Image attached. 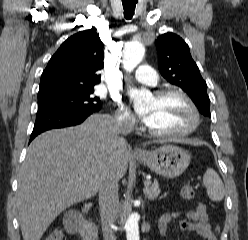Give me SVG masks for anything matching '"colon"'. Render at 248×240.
I'll list each match as a JSON object with an SVG mask.
<instances>
[{"mask_svg":"<svg viewBox=\"0 0 248 240\" xmlns=\"http://www.w3.org/2000/svg\"><path fill=\"white\" fill-rule=\"evenodd\" d=\"M182 197L186 200H192L195 196L194 188L190 184H186L181 190ZM44 240H65L64 233L61 229L52 230Z\"/></svg>","mask_w":248,"mask_h":240,"instance_id":"5ec220e1","label":"colon"}]
</instances>
